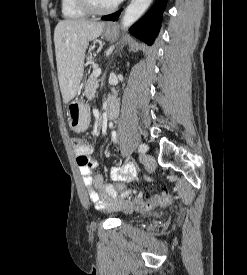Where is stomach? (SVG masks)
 Listing matches in <instances>:
<instances>
[{"label":"stomach","mask_w":247,"mask_h":275,"mask_svg":"<svg viewBox=\"0 0 247 275\" xmlns=\"http://www.w3.org/2000/svg\"><path fill=\"white\" fill-rule=\"evenodd\" d=\"M115 34L114 31L106 29L104 36L110 39ZM69 126L76 132L85 131L90 123V112L88 107L80 100L75 99L67 105Z\"/></svg>","instance_id":"obj_1"}]
</instances>
